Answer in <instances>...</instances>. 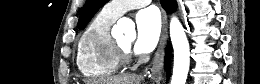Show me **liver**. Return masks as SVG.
Masks as SVG:
<instances>
[{
	"label": "liver",
	"mask_w": 260,
	"mask_h": 84,
	"mask_svg": "<svg viewBox=\"0 0 260 84\" xmlns=\"http://www.w3.org/2000/svg\"><path fill=\"white\" fill-rule=\"evenodd\" d=\"M86 83L87 84H141V79L137 75H121L116 77L100 79L97 81H86Z\"/></svg>",
	"instance_id": "1"
}]
</instances>
